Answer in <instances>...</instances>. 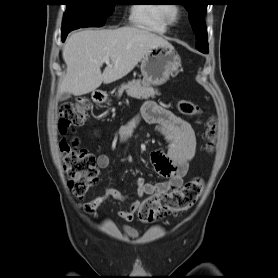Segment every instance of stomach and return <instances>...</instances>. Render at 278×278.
Returning <instances> with one entry per match:
<instances>
[{"mask_svg": "<svg viewBox=\"0 0 278 278\" xmlns=\"http://www.w3.org/2000/svg\"><path fill=\"white\" fill-rule=\"evenodd\" d=\"M181 58L172 45L151 48L142 58L141 73L151 85H162L177 74Z\"/></svg>", "mask_w": 278, "mask_h": 278, "instance_id": "0dacf381", "label": "stomach"}]
</instances>
